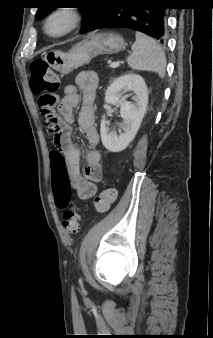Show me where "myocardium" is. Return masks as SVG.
Masks as SVG:
<instances>
[{
	"label": "myocardium",
	"instance_id": "f54148a6",
	"mask_svg": "<svg viewBox=\"0 0 213 338\" xmlns=\"http://www.w3.org/2000/svg\"><path fill=\"white\" fill-rule=\"evenodd\" d=\"M62 16L65 19V26L60 30L53 29V21L56 17ZM82 15L71 8H58L51 11L45 18L44 31L50 38H60L73 32L80 24Z\"/></svg>",
	"mask_w": 213,
	"mask_h": 338
}]
</instances>
